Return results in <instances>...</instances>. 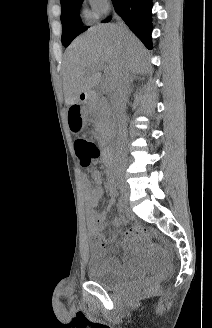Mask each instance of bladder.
Returning a JSON list of instances; mask_svg holds the SVG:
<instances>
[{
	"label": "bladder",
	"mask_w": 212,
	"mask_h": 328,
	"mask_svg": "<svg viewBox=\"0 0 212 328\" xmlns=\"http://www.w3.org/2000/svg\"><path fill=\"white\" fill-rule=\"evenodd\" d=\"M141 267L142 263L136 262L130 271L120 273L109 268L106 260L92 259L88 266V277L107 290H118L138 283L143 278Z\"/></svg>",
	"instance_id": "31cf9c89"
}]
</instances>
